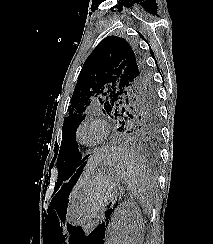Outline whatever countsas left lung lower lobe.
<instances>
[{"label": "left lung lower lobe", "instance_id": "1", "mask_svg": "<svg viewBox=\"0 0 213 244\" xmlns=\"http://www.w3.org/2000/svg\"><path fill=\"white\" fill-rule=\"evenodd\" d=\"M117 130L128 134L138 143L141 142V144H145L144 147L146 146L147 150H149L150 152L155 151L158 136H155L153 138H144L139 134L135 133V130L129 128V126H127L126 124H119V128ZM88 157L89 155L82 156L81 153L79 154L71 172V175L73 174V176L71 177L69 182H72L74 184L78 180V177L80 176L84 166L86 165V160Z\"/></svg>", "mask_w": 213, "mask_h": 244}]
</instances>
